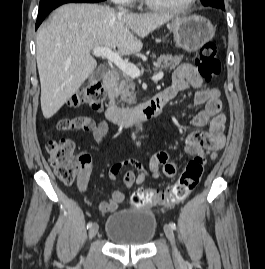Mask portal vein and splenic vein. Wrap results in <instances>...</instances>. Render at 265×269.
<instances>
[{"label": "portal vein and splenic vein", "instance_id": "portal-vein-and-splenic-vein-1", "mask_svg": "<svg viewBox=\"0 0 265 269\" xmlns=\"http://www.w3.org/2000/svg\"><path fill=\"white\" fill-rule=\"evenodd\" d=\"M93 55L97 57H104L110 62L114 63L120 70H122L127 75L132 78H138L142 72L134 64L124 61L117 53L113 52L110 48L107 47H96L92 51ZM164 73L161 71L158 74L152 77L154 82L159 81L163 78Z\"/></svg>", "mask_w": 265, "mask_h": 269}]
</instances>
